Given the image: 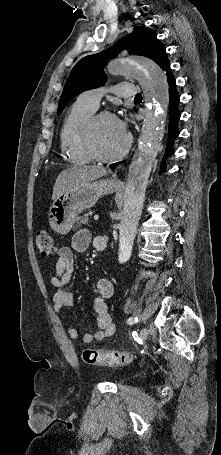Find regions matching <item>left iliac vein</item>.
<instances>
[{"label":"left iliac vein","mask_w":221,"mask_h":455,"mask_svg":"<svg viewBox=\"0 0 221 455\" xmlns=\"http://www.w3.org/2000/svg\"><path fill=\"white\" fill-rule=\"evenodd\" d=\"M148 337V329L147 328H142L139 332V338L141 341H146Z\"/></svg>","instance_id":"left-iliac-vein-1"}]
</instances>
